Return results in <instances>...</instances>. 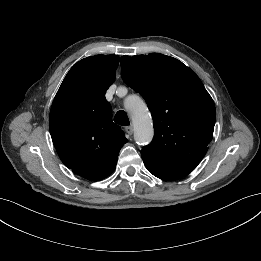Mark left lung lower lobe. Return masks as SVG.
Segmentation results:
<instances>
[{
  "label": "left lung lower lobe",
  "instance_id": "left-lung-lower-lobe-1",
  "mask_svg": "<svg viewBox=\"0 0 261 261\" xmlns=\"http://www.w3.org/2000/svg\"><path fill=\"white\" fill-rule=\"evenodd\" d=\"M143 162L150 173H152L154 176H156L160 179H163V180L179 179L190 173V172H186V171L165 169V168L155 165L154 163H152L148 160H143Z\"/></svg>",
  "mask_w": 261,
  "mask_h": 261
}]
</instances>
